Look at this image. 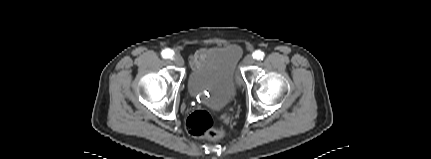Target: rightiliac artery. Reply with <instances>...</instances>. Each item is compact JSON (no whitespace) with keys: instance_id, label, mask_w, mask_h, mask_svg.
Instances as JSON below:
<instances>
[{"instance_id":"82829eb1","label":"right iliac artery","mask_w":431,"mask_h":159,"mask_svg":"<svg viewBox=\"0 0 431 159\" xmlns=\"http://www.w3.org/2000/svg\"><path fill=\"white\" fill-rule=\"evenodd\" d=\"M174 55V52L171 49H165L162 51L163 58H171Z\"/></svg>"}]
</instances>
